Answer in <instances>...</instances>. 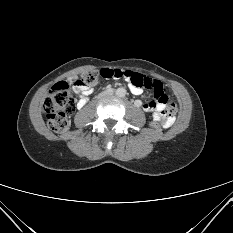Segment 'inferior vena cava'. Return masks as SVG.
<instances>
[{"mask_svg": "<svg viewBox=\"0 0 233 233\" xmlns=\"http://www.w3.org/2000/svg\"><path fill=\"white\" fill-rule=\"evenodd\" d=\"M113 93H114L113 90L110 89V88H108V89H106V90H101L99 96H100L101 99L104 100V99L107 98V96H108V97L112 96Z\"/></svg>", "mask_w": 233, "mask_h": 233, "instance_id": "inferior-vena-cava-1", "label": "inferior vena cava"}]
</instances>
